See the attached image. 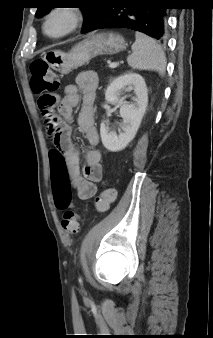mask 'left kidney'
<instances>
[{
	"mask_svg": "<svg viewBox=\"0 0 213 338\" xmlns=\"http://www.w3.org/2000/svg\"><path fill=\"white\" fill-rule=\"evenodd\" d=\"M122 90H134L135 98L132 103L120 100ZM105 100L108 103H120V116L124 123L121 125L123 132L119 134L101 123L100 135L104 147L111 152L123 150L135 137L148 104V90L143 77L136 73H125L115 78L107 87Z\"/></svg>",
	"mask_w": 213,
	"mask_h": 338,
	"instance_id": "1",
	"label": "left kidney"
}]
</instances>
